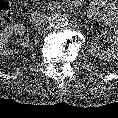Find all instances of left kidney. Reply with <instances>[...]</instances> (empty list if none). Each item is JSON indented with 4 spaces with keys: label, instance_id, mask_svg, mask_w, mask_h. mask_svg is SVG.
<instances>
[{
    "label": "left kidney",
    "instance_id": "left-kidney-1",
    "mask_svg": "<svg viewBox=\"0 0 118 118\" xmlns=\"http://www.w3.org/2000/svg\"><path fill=\"white\" fill-rule=\"evenodd\" d=\"M101 36L106 39L107 43L109 44L110 48L107 51H102L95 43H92L90 46V53L100 58L104 61H112L118 59V37L112 35L107 31H101Z\"/></svg>",
    "mask_w": 118,
    "mask_h": 118
}]
</instances>
